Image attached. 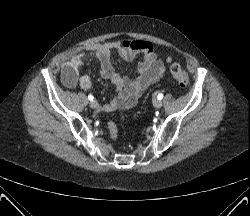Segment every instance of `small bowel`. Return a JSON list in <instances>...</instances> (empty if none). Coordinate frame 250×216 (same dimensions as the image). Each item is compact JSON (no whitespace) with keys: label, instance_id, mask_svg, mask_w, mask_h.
<instances>
[{"label":"small bowel","instance_id":"c3829d8e","mask_svg":"<svg viewBox=\"0 0 250 216\" xmlns=\"http://www.w3.org/2000/svg\"><path fill=\"white\" fill-rule=\"evenodd\" d=\"M112 51H116L121 58L128 61L134 59L138 54L142 55L134 77L129 78L113 68ZM88 54L97 58L102 78L109 80L116 90L115 98L102 105V109L105 111L133 107L145 89L160 80L165 71L152 43L148 41L124 40L96 43L81 48L64 59L61 76L65 87L72 89L79 85L86 91L92 88L91 78L88 75H79L80 67Z\"/></svg>","mask_w":250,"mask_h":216}]
</instances>
